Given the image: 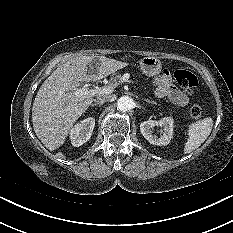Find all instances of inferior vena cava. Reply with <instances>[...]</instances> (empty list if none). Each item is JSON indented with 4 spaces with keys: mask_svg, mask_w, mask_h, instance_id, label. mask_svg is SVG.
<instances>
[{
    "mask_svg": "<svg viewBox=\"0 0 233 233\" xmlns=\"http://www.w3.org/2000/svg\"><path fill=\"white\" fill-rule=\"evenodd\" d=\"M109 100H110V96L102 95V96L97 97V99H95V104L102 105Z\"/></svg>",
    "mask_w": 233,
    "mask_h": 233,
    "instance_id": "1",
    "label": "inferior vena cava"
}]
</instances>
